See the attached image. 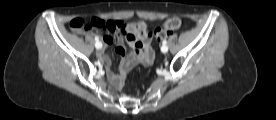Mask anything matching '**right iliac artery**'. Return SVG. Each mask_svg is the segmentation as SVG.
I'll list each match as a JSON object with an SVG mask.
<instances>
[{
  "label": "right iliac artery",
  "instance_id": "1",
  "mask_svg": "<svg viewBox=\"0 0 276 120\" xmlns=\"http://www.w3.org/2000/svg\"><path fill=\"white\" fill-rule=\"evenodd\" d=\"M95 40H96V42H99V38L96 36L95 37ZM97 48H101L102 47V44H96L95 45Z\"/></svg>",
  "mask_w": 276,
  "mask_h": 120
}]
</instances>
